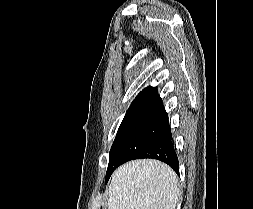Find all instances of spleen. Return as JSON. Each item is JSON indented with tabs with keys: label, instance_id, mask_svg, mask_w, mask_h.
<instances>
[{
	"label": "spleen",
	"instance_id": "spleen-1",
	"mask_svg": "<svg viewBox=\"0 0 253 209\" xmlns=\"http://www.w3.org/2000/svg\"><path fill=\"white\" fill-rule=\"evenodd\" d=\"M175 172L156 160L131 161L113 174L108 209H175Z\"/></svg>",
	"mask_w": 253,
	"mask_h": 209
}]
</instances>
